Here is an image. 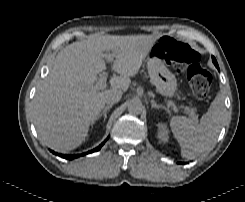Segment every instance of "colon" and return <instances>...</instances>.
Instances as JSON below:
<instances>
[{"label":"colon","mask_w":245,"mask_h":202,"mask_svg":"<svg viewBox=\"0 0 245 202\" xmlns=\"http://www.w3.org/2000/svg\"><path fill=\"white\" fill-rule=\"evenodd\" d=\"M163 57L179 72H185L193 94L204 98L211 86V75L201 68L199 54L185 43L170 36H163L158 42Z\"/></svg>","instance_id":"5ec220e1"}]
</instances>
